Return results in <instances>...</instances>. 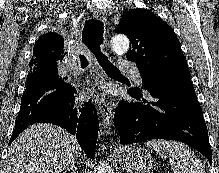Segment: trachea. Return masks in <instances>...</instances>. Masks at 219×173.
Returning a JSON list of instances; mask_svg holds the SVG:
<instances>
[{
    "mask_svg": "<svg viewBox=\"0 0 219 173\" xmlns=\"http://www.w3.org/2000/svg\"><path fill=\"white\" fill-rule=\"evenodd\" d=\"M82 42L92 52L102 69L111 75H121V72L109 61L108 57L101 51L103 43V23L100 20L88 19L82 32ZM81 66L86 67L88 60L80 55Z\"/></svg>",
    "mask_w": 219,
    "mask_h": 173,
    "instance_id": "1",
    "label": "trachea"
}]
</instances>
